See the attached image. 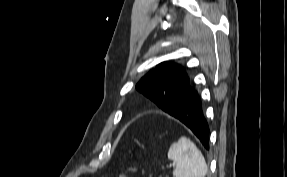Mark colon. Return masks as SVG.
Here are the masks:
<instances>
[{
	"mask_svg": "<svg viewBox=\"0 0 287 177\" xmlns=\"http://www.w3.org/2000/svg\"><path fill=\"white\" fill-rule=\"evenodd\" d=\"M120 177H128V176H127V174L122 173V174L120 175Z\"/></svg>",
	"mask_w": 287,
	"mask_h": 177,
	"instance_id": "1",
	"label": "colon"
}]
</instances>
